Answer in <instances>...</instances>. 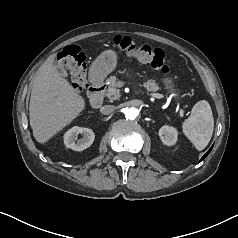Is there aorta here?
I'll return each mask as SVG.
<instances>
[{
    "label": "aorta",
    "mask_w": 238,
    "mask_h": 238,
    "mask_svg": "<svg viewBox=\"0 0 238 238\" xmlns=\"http://www.w3.org/2000/svg\"><path fill=\"white\" fill-rule=\"evenodd\" d=\"M139 115V110L137 108L131 107L125 111V117L129 120H135Z\"/></svg>",
    "instance_id": "1"
}]
</instances>
